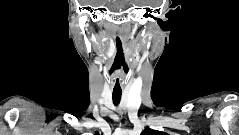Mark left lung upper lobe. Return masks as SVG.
Instances as JSON below:
<instances>
[{"mask_svg":"<svg viewBox=\"0 0 239 135\" xmlns=\"http://www.w3.org/2000/svg\"><path fill=\"white\" fill-rule=\"evenodd\" d=\"M141 135H167V134L164 132H160L157 130H152L150 128H147L141 133Z\"/></svg>","mask_w":239,"mask_h":135,"instance_id":"5c2ea615","label":"left lung upper lobe"}]
</instances>
